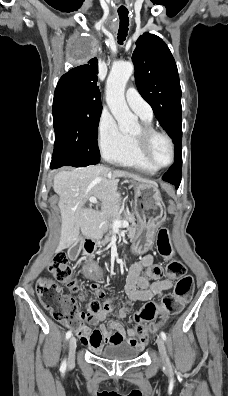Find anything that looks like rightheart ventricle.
I'll list each match as a JSON object with an SVG mask.
<instances>
[{
	"instance_id": "obj_1",
	"label": "right heart ventricle",
	"mask_w": 228,
	"mask_h": 396,
	"mask_svg": "<svg viewBox=\"0 0 228 396\" xmlns=\"http://www.w3.org/2000/svg\"><path fill=\"white\" fill-rule=\"evenodd\" d=\"M144 123L150 124L151 118H144L142 117ZM114 162H116L119 165L126 166V167H131L134 169H137L139 171H142L144 173H154L155 170L152 168L148 167L140 158L135 144L133 142L132 137H128V147L126 151Z\"/></svg>"
}]
</instances>
